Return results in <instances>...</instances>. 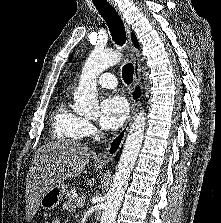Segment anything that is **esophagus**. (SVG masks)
I'll return each instance as SVG.
<instances>
[{"instance_id":"1","label":"esophagus","mask_w":221,"mask_h":223,"mask_svg":"<svg viewBox=\"0 0 221 223\" xmlns=\"http://www.w3.org/2000/svg\"><path fill=\"white\" fill-rule=\"evenodd\" d=\"M108 2L113 6V8L118 12L119 16L121 17V20L125 26L126 33H127V49L129 51L131 60L134 64V74H133V81L134 86L138 87L141 85V60H140V54L139 51L134 47L131 38H130V26L128 25L123 13L119 10L117 4L114 2V0H108ZM138 108V102H133L130 107V113L129 116L124 123L123 127L121 128L120 132L115 135V137L110 141L108 147L98 156L96 157V161L101 164H108L113 161L115 156L120 150V147L123 144V141L127 135V132L130 128V125L132 123V120L137 112Z\"/></svg>"}]
</instances>
